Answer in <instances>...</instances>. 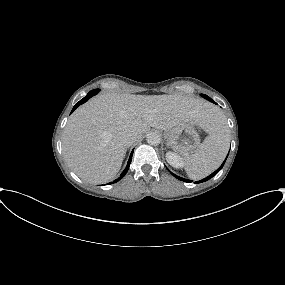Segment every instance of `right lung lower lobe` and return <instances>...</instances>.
<instances>
[{
    "mask_svg": "<svg viewBox=\"0 0 285 285\" xmlns=\"http://www.w3.org/2000/svg\"><path fill=\"white\" fill-rule=\"evenodd\" d=\"M98 92L97 91H90L83 99H81L78 103L75 104V106L73 107V110L72 112L81 104L85 103L88 99H90L92 96L96 95ZM71 112V113H72ZM132 155H133V152L131 153L130 157H129V160H128V163H127V166L126 168L124 169V171L121 173V176L116 179L115 181L113 182H110L109 184H113L117 181H119L122 177H124V175L127 173L128 169H129V166H130V163H131V160H132Z\"/></svg>",
    "mask_w": 285,
    "mask_h": 285,
    "instance_id": "1",
    "label": "right lung lower lobe"
}]
</instances>
